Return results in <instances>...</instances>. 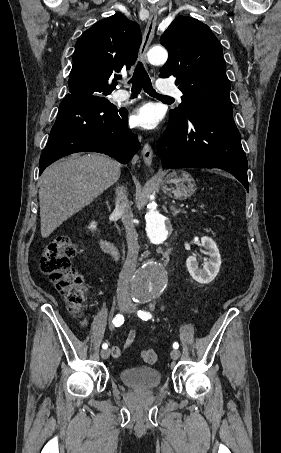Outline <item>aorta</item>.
I'll return each instance as SVG.
<instances>
[{
	"label": "aorta",
	"instance_id": "762f6f07",
	"mask_svg": "<svg viewBox=\"0 0 281 453\" xmlns=\"http://www.w3.org/2000/svg\"><path fill=\"white\" fill-rule=\"evenodd\" d=\"M148 60L153 65H163L168 53L163 47H153L149 50ZM145 215L146 232L154 244L164 242L169 236L165 217L157 211V205L149 203ZM167 284V272L160 263H145L132 277L131 287L134 297L140 301H149L159 295Z\"/></svg>",
	"mask_w": 281,
	"mask_h": 453
}]
</instances>
